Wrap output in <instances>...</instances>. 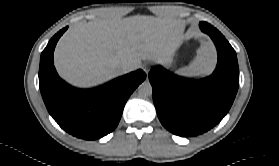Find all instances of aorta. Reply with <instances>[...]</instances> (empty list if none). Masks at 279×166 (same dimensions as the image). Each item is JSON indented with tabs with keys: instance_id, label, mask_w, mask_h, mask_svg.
Returning a JSON list of instances; mask_svg holds the SVG:
<instances>
[{
	"instance_id": "762f6f07",
	"label": "aorta",
	"mask_w": 279,
	"mask_h": 166,
	"mask_svg": "<svg viewBox=\"0 0 279 166\" xmlns=\"http://www.w3.org/2000/svg\"><path fill=\"white\" fill-rule=\"evenodd\" d=\"M138 93L140 96L148 97L152 94V86L150 82L144 81L138 87Z\"/></svg>"
}]
</instances>
